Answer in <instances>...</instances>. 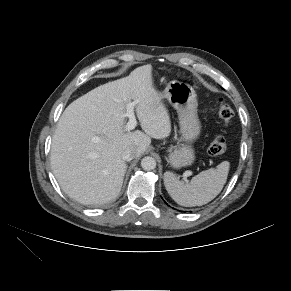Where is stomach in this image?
<instances>
[{
	"label": "stomach",
	"instance_id": "stomach-1",
	"mask_svg": "<svg viewBox=\"0 0 291 291\" xmlns=\"http://www.w3.org/2000/svg\"><path fill=\"white\" fill-rule=\"evenodd\" d=\"M156 92L160 101L166 99L177 110L180 141L185 142L169 150L168 163L175 169L189 166L195 159L192 143L201 132L196 93L190 85L179 81H171L162 92Z\"/></svg>",
	"mask_w": 291,
	"mask_h": 291
}]
</instances>
